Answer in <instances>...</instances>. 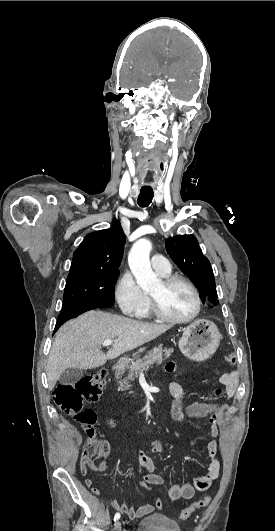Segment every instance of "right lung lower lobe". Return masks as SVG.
Returning a JSON list of instances; mask_svg holds the SVG:
<instances>
[{"label":"right lung lower lobe","mask_w":275,"mask_h":531,"mask_svg":"<svg viewBox=\"0 0 275 531\" xmlns=\"http://www.w3.org/2000/svg\"><path fill=\"white\" fill-rule=\"evenodd\" d=\"M95 308H100V307L83 306V305L63 306V308H62V310H61V312H60V314L58 316V319H57V322H56V326H55V329H54V333L67 320L75 318V317L79 316L80 314H82V313H84L86 311L95 309Z\"/></svg>","instance_id":"98d812e1"}]
</instances>
